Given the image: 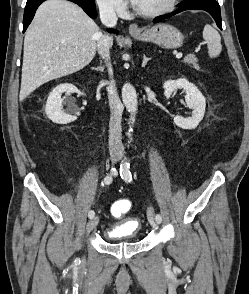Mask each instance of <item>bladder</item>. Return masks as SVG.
Listing matches in <instances>:
<instances>
[{"mask_svg":"<svg viewBox=\"0 0 249 294\" xmlns=\"http://www.w3.org/2000/svg\"><path fill=\"white\" fill-rule=\"evenodd\" d=\"M141 232V226L135 221L126 218L118 225L113 226L105 233V239L108 241L117 240L121 238L135 240Z\"/></svg>","mask_w":249,"mask_h":294,"instance_id":"1","label":"bladder"}]
</instances>
